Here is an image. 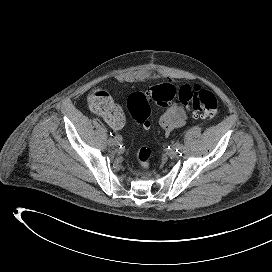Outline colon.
I'll use <instances>...</instances> for the list:
<instances>
[{"label":"colon","mask_w":272,"mask_h":272,"mask_svg":"<svg viewBox=\"0 0 272 272\" xmlns=\"http://www.w3.org/2000/svg\"><path fill=\"white\" fill-rule=\"evenodd\" d=\"M109 95L105 91L96 89L89 97L93 110L105 112L109 105ZM167 107L172 102L191 106L196 115L204 118H213L218 112V100L213 92L199 85L185 84L176 89L170 83H161L151 87L146 92H134L127 99V108L135 122L145 129L149 127L150 103ZM154 155L148 145L141 146L136 159L140 167L148 169Z\"/></svg>","instance_id":"colon-1"}]
</instances>
